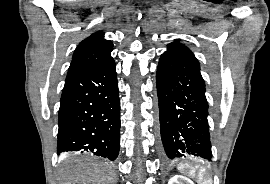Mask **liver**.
I'll use <instances>...</instances> for the list:
<instances>
[{"label":"liver","mask_w":270,"mask_h":184,"mask_svg":"<svg viewBox=\"0 0 270 184\" xmlns=\"http://www.w3.org/2000/svg\"><path fill=\"white\" fill-rule=\"evenodd\" d=\"M62 184H115L116 174L109 163H81L60 174Z\"/></svg>","instance_id":"1"}]
</instances>
